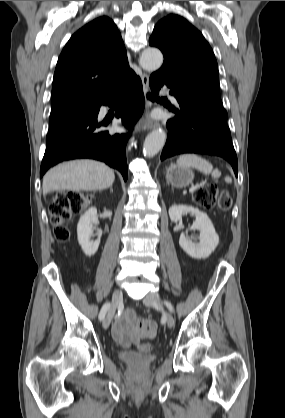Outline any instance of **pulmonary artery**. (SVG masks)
<instances>
[{"label": "pulmonary artery", "mask_w": 285, "mask_h": 418, "mask_svg": "<svg viewBox=\"0 0 285 418\" xmlns=\"http://www.w3.org/2000/svg\"><path fill=\"white\" fill-rule=\"evenodd\" d=\"M166 94L170 99H172V100L175 99L174 95L172 93H170L168 90H166Z\"/></svg>", "instance_id": "obj_1"}]
</instances>
